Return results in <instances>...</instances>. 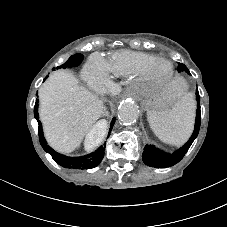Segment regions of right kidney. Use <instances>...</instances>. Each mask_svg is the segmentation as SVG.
I'll use <instances>...</instances> for the list:
<instances>
[{"label":"right kidney","instance_id":"obj_1","mask_svg":"<svg viewBox=\"0 0 227 227\" xmlns=\"http://www.w3.org/2000/svg\"><path fill=\"white\" fill-rule=\"evenodd\" d=\"M103 128L104 127L102 125L97 124L90 129V131L86 136V142H85L88 148L96 147L94 145L96 144L97 140L101 136L103 132Z\"/></svg>","mask_w":227,"mask_h":227}]
</instances>
